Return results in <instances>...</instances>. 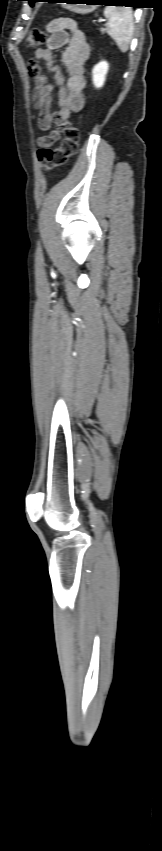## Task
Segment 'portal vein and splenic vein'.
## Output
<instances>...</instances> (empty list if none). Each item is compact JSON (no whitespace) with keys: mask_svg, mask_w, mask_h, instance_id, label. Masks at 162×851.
<instances>
[{"mask_svg":"<svg viewBox=\"0 0 162 851\" xmlns=\"http://www.w3.org/2000/svg\"><path fill=\"white\" fill-rule=\"evenodd\" d=\"M98 21H99V22H103V21H104V20H102V19H99V20H98Z\"/></svg>","mask_w":162,"mask_h":851,"instance_id":"18ae733b","label":"portal vein and splenic vein"}]
</instances>
